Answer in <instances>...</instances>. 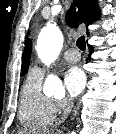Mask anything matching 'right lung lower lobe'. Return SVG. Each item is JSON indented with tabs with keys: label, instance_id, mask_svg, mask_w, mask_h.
Returning <instances> with one entry per match:
<instances>
[{
	"label": "right lung lower lobe",
	"instance_id": "1",
	"mask_svg": "<svg viewBox=\"0 0 116 134\" xmlns=\"http://www.w3.org/2000/svg\"><path fill=\"white\" fill-rule=\"evenodd\" d=\"M89 52H90V55L93 53V47L92 46H89ZM90 58V56H89Z\"/></svg>",
	"mask_w": 116,
	"mask_h": 134
}]
</instances>
